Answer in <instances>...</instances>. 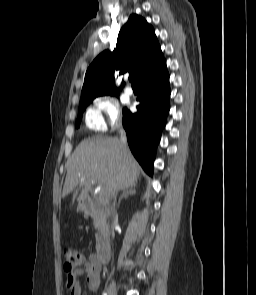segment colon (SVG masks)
<instances>
[{
	"instance_id": "5ec220e1",
	"label": "colon",
	"mask_w": 256,
	"mask_h": 295,
	"mask_svg": "<svg viewBox=\"0 0 256 295\" xmlns=\"http://www.w3.org/2000/svg\"><path fill=\"white\" fill-rule=\"evenodd\" d=\"M83 262L81 253L72 247H65L63 249V268L67 272L74 271Z\"/></svg>"
}]
</instances>
